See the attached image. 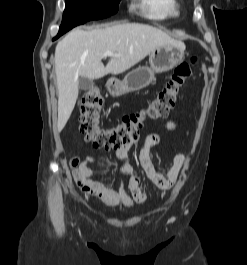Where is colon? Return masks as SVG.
I'll return each mask as SVG.
<instances>
[{"label": "colon", "mask_w": 247, "mask_h": 265, "mask_svg": "<svg viewBox=\"0 0 247 265\" xmlns=\"http://www.w3.org/2000/svg\"><path fill=\"white\" fill-rule=\"evenodd\" d=\"M196 61L197 58L193 57L190 63L179 64L147 109L127 115L120 123L111 127H103L100 123L103 106V97L100 91L97 88L88 90L83 98L79 126L85 140L91 142L95 148L116 150L138 138L147 117L164 118L174 108L177 96L186 80L191 76L192 66Z\"/></svg>", "instance_id": "colon-1"}]
</instances>
